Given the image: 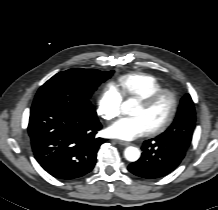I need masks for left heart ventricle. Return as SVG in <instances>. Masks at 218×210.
Instances as JSON below:
<instances>
[{"instance_id":"obj_1","label":"left heart ventricle","mask_w":218,"mask_h":210,"mask_svg":"<svg viewBox=\"0 0 218 210\" xmlns=\"http://www.w3.org/2000/svg\"><path fill=\"white\" fill-rule=\"evenodd\" d=\"M170 110V100L165 97L155 103L152 107H144L140 103L136 107L133 116L142 117L149 129L161 124L167 117Z\"/></svg>"}]
</instances>
